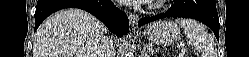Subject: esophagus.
<instances>
[{
	"mask_svg": "<svg viewBox=\"0 0 249 57\" xmlns=\"http://www.w3.org/2000/svg\"><path fill=\"white\" fill-rule=\"evenodd\" d=\"M129 21H130V26L132 29L135 28V26L137 25L138 21H139V17L133 13H131L129 15Z\"/></svg>",
	"mask_w": 249,
	"mask_h": 57,
	"instance_id": "esophagus-1",
	"label": "esophagus"
}]
</instances>
